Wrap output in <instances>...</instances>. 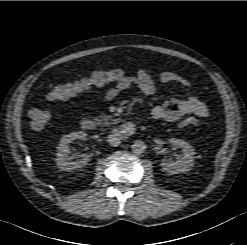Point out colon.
<instances>
[{
  "instance_id": "colon-1",
  "label": "colon",
  "mask_w": 247,
  "mask_h": 245,
  "mask_svg": "<svg viewBox=\"0 0 247 245\" xmlns=\"http://www.w3.org/2000/svg\"><path fill=\"white\" fill-rule=\"evenodd\" d=\"M123 76V71L116 68L98 70L76 81L53 87L48 92L47 98L51 101H64L92 88L116 82ZM29 117L34 129H42L50 119V112L45 109L34 108L29 111ZM199 125L200 123L196 119L189 117L183 118L179 122L181 127Z\"/></svg>"
}]
</instances>
